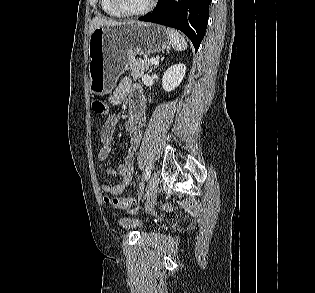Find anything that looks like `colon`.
<instances>
[{"label":"colon","instance_id":"1","mask_svg":"<svg viewBox=\"0 0 315 293\" xmlns=\"http://www.w3.org/2000/svg\"><path fill=\"white\" fill-rule=\"evenodd\" d=\"M92 110L100 116H104L108 112L107 104L102 100H95L92 103ZM104 201L111 205L115 209L121 210H128L130 209L135 203L136 199L134 197H125V198H109L104 197ZM169 208V206H166Z\"/></svg>","mask_w":315,"mask_h":293}]
</instances>
